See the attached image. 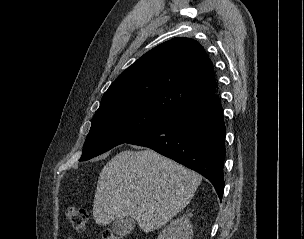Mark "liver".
<instances>
[{"instance_id":"6515ba94","label":"liver","mask_w":304,"mask_h":239,"mask_svg":"<svg viewBox=\"0 0 304 239\" xmlns=\"http://www.w3.org/2000/svg\"><path fill=\"white\" fill-rule=\"evenodd\" d=\"M202 181L196 172L151 149L124 150L102 169L93 203L97 224L131 217L145 232L167 224Z\"/></svg>"}]
</instances>
